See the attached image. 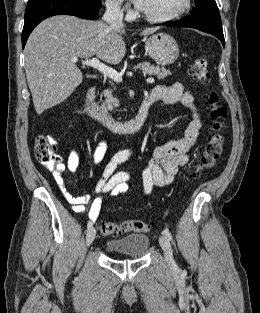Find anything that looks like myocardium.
<instances>
[{
	"label": "myocardium",
	"mask_w": 260,
	"mask_h": 313,
	"mask_svg": "<svg viewBox=\"0 0 260 313\" xmlns=\"http://www.w3.org/2000/svg\"><path fill=\"white\" fill-rule=\"evenodd\" d=\"M192 5V0H184L182 6L175 11L174 13L166 16H152L147 13H145L142 9L140 10L141 16L152 23H168L175 21L179 18H181L185 13L189 11Z\"/></svg>",
	"instance_id": "1"
}]
</instances>
